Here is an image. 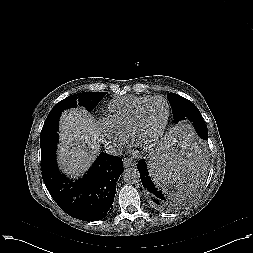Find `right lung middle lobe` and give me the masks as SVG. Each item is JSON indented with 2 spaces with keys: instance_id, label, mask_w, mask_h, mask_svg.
<instances>
[{
  "instance_id": "right-lung-middle-lobe-1",
  "label": "right lung middle lobe",
  "mask_w": 253,
  "mask_h": 253,
  "mask_svg": "<svg viewBox=\"0 0 253 253\" xmlns=\"http://www.w3.org/2000/svg\"><path fill=\"white\" fill-rule=\"evenodd\" d=\"M106 94V92L78 93L68 96L53 107L44 122L40 135L41 162H50L56 156L58 122L61 113L68 108L77 107L78 105L85 107L90 112Z\"/></svg>"
}]
</instances>
